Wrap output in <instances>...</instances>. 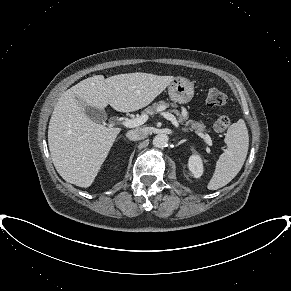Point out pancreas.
<instances>
[{
  "label": "pancreas",
  "mask_w": 291,
  "mask_h": 291,
  "mask_svg": "<svg viewBox=\"0 0 291 291\" xmlns=\"http://www.w3.org/2000/svg\"><path fill=\"white\" fill-rule=\"evenodd\" d=\"M169 106L168 103L164 101H160L159 103H153L152 106L145 109L144 114H154L158 111L159 108H167ZM178 116L179 123L184 124L185 126H189L190 130L195 129L196 133H204L205 132V126L201 122H195L193 120H188L187 113L180 114L179 111L174 110L173 111ZM188 128H184V130H187Z\"/></svg>",
  "instance_id": "1"
}]
</instances>
